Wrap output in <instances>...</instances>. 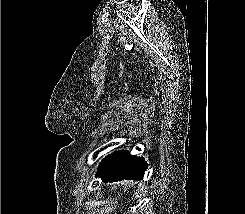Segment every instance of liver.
<instances>
[{"mask_svg":"<svg viewBox=\"0 0 245 214\" xmlns=\"http://www.w3.org/2000/svg\"><path fill=\"white\" fill-rule=\"evenodd\" d=\"M122 184V183H121ZM120 186V183H117V184H112L111 185V189L113 190V189H116L117 187H119Z\"/></svg>","mask_w":245,"mask_h":214,"instance_id":"liver-1","label":"liver"}]
</instances>
